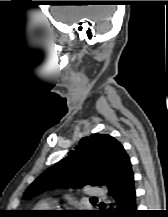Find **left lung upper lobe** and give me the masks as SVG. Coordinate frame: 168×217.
Here are the masks:
<instances>
[{"instance_id":"left-lung-upper-lobe-1","label":"left lung upper lobe","mask_w":168,"mask_h":217,"mask_svg":"<svg viewBox=\"0 0 168 217\" xmlns=\"http://www.w3.org/2000/svg\"><path fill=\"white\" fill-rule=\"evenodd\" d=\"M130 165L120 142L107 134H93L82 138L68 156L42 173L24 198L62 186L105 185L112 190L124 182Z\"/></svg>"}]
</instances>
